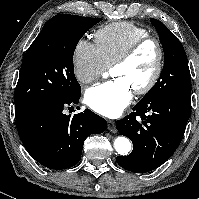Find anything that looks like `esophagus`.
Here are the masks:
<instances>
[{"label":"esophagus","mask_w":199,"mask_h":199,"mask_svg":"<svg viewBox=\"0 0 199 199\" xmlns=\"http://www.w3.org/2000/svg\"><path fill=\"white\" fill-rule=\"evenodd\" d=\"M107 128L110 131H115V122L113 120H107Z\"/></svg>","instance_id":"esophagus-1"}]
</instances>
